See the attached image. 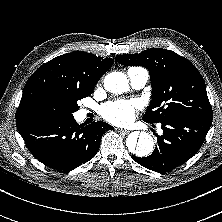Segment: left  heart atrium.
I'll return each instance as SVG.
<instances>
[{
	"label": "left heart atrium",
	"mask_w": 222,
	"mask_h": 222,
	"mask_svg": "<svg viewBox=\"0 0 222 222\" xmlns=\"http://www.w3.org/2000/svg\"><path fill=\"white\" fill-rule=\"evenodd\" d=\"M139 102L132 100H117L106 103L102 109V116L111 123L125 125L133 121Z\"/></svg>",
	"instance_id": "obj_1"
}]
</instances>
